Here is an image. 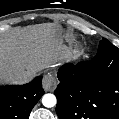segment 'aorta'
<instances>
[{
	"label": "aorta",
	"instance_id": "aorta-1",
	"mask_svg": "<svg viewBox=\"0 0 119 119\" xmlns=\"http://www.w3.org/2000/svg\"><path fill=\"white\" fill-rule=\"evenodd\" d=\"M56 102V97L53 94H45L42 97V103L47 108L54 107L56 105Z\"/></svg>",
	"mask_w": 119,
	"mask_h": 119
}]
</instances>
